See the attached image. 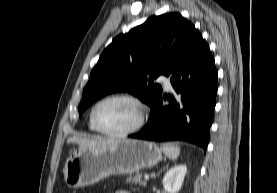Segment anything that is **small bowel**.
<instances>
[{"label": "small bowel", "mask_w": 277, "mask_h": 193, "mask_svg": "<svg viewBox=\"0 0 277 193\" xmlns=\"http://www.w3.org/2000/svg\"><path fill=\"white\" fill-rule=\"evenodd\" d=\"M113 193H130L129 191H126V190H117Z\"/></svg>", "instance_id": "1"}]
</instances>
